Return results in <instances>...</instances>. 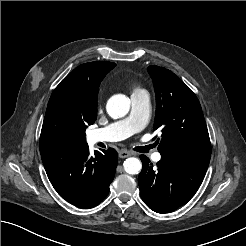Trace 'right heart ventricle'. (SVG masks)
Masks as SVG:
<instances>
[{
	"label": "right heart ventricle",
	"mask_w": 246,
	"mask_h": 246,
	"mask_svg": "<svg viewBox=\"0 0 246 246\" xmlns=\"http://www.w3.org/2000/svg\"><path fill=\"white\" fill-rule=\"evenodd\" d=\"M142 91H144V90L139 88V87H137V88L134 89L133 93L142 92Z\"/></svg>",
	"instance_id": "e07e8e85"
}]
</instances>
